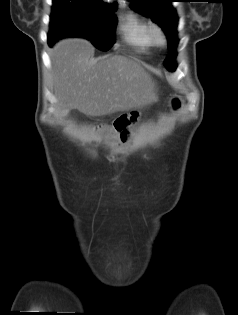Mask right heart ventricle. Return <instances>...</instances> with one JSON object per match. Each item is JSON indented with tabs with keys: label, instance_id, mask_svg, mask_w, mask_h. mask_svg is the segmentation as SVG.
<instances>
[{
	"label": "right heart ventricle",
	"instance_id": "e07e8e85",
	"mask_svg": "<svg viewBox=\"0 0 238 315\" xmlns=\"http://www.w3.org/2000/svg\"><path fill=\"white\" fill-rule=\"evenodd\" d=\"M123 31L126 40L136 47L148 49L154 45L150 23L135 14L127 17Z\"/></svg>",
	"mask_w": 238,
	"mask_h": 315
}]
</instances>
